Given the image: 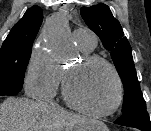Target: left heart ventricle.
<instances>
[{"label":"left heart ventricle","instance_id":"1","mask_svg":"<svg viewBox=\"0 0 151 131\" xmlns=\"http://www.w3.org/2000/svg\"><path fill=\"white\" fill-rule=\"evenodd\" d=\"M69 89L74 98L94 110L110 107L116 96V84L110 70L103 64L73 66Z\"/></svg>","mask_w":151,"mask_h":131}]
</instances>
